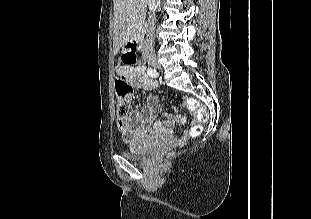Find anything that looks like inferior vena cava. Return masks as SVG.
<instances>
[{"label": "inferior vena cava", "mask_w": 311, "mask_h": 219, "mask_svg": "<svg viewBox=\"0 0 311 219\" xmlns=\"http://www.w3.org/2000/svg\"><path fill=\"white\" fill-rule=\"evenodd\" d=\"M146 3L148 4L149 7H152L155 5V0H146ZM154 29H155V17L153 16V14L149 13L148 29L143 48L144 52L153 51Z\"/></svg>", "instance_id": "obj_1"}]
</instances>
